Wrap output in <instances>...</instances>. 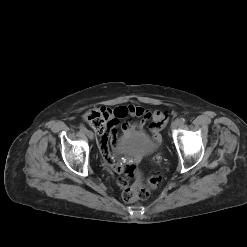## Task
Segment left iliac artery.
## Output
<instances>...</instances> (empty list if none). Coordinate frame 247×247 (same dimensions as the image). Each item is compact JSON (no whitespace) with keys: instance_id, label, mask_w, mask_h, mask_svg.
<instances>
[{"instance_id":"1","label":"left iliac artery","mask_w":247,"mask_h":247,"mask_svg":"<svg viewBox=\"0 0 247 247\" xmlns=\"http://www.w3.org/2000/svg\"><path fill=\"white\" fill-rule=\"evenodd\" d=\"M178 121H179L180 125H183L185 123V119L184 118H180V119H178Z\"/></svg>"}]
</instances>
